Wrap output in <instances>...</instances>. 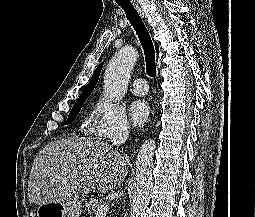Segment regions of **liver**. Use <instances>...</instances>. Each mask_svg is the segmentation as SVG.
I'll list each match as a JSON object with an SVG mask.
<instances>
[{"label": "liver", "instance_id": "1", "mask_svg": "<svg viewBox=\"0 0 255 217\" xmlns=\"http://www.w3.org/2000/svg\"><path fill=\"white\" fill-rule=\"evenodd\" d=\"M127 159L98 138L73 137L47 144L35 157L28 180L30 203L42 205L118 188Z\"/></svg>", "mask_w": 255, "mask_h": 217}]
</instances>
